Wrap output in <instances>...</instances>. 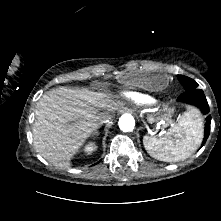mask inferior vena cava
Listing matches in <instances>:
<instances>
[{"mask_svg":"<svg viewBox=\"0 0 221 221\" xmlns=\"http://www.w3.org/2000/svg\"><path fill=\"white\" fill-rule=\"evenodd\" d=\"M110 119H111V116H110L109 114H107V113H102V114H100V116L98 117V122H99V124L102 125V124H104V123L109 122Z\"/></svg>","mask_w":221,"mask_h":221,"instance_id":"inferior-vena-cava-1","label":"inferior vena cava"}]
</instances>
